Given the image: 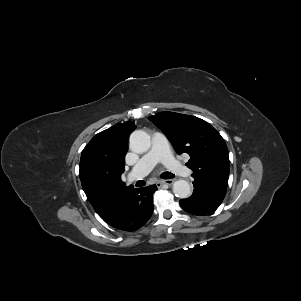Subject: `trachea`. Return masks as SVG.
Instances as JSON below:
<instances>
[{"label":"trachea","instance_id":"1","mask_svg":"<svg viewBox=\"0 0 301 301\" xmlns=\"http://www.w3.org/2000/svg\"><path fill=\"white\" fill-rule=\"evenodd\" d=\"M161 177H162L163 179H172V178L175 177V175H174L173 173H171V172H163V173L161 174Z\"/></svg>","mask_w":301,"mask_h":301}]
</instances>
